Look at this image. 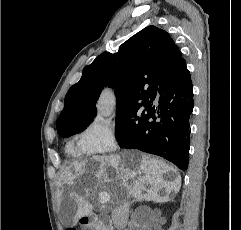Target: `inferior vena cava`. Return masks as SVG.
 <instances>
[{"instance_id": "602c4592", "label": "inferior vena cava", "mask_w": 241, "mask_h": 230, "mask_svg": "<svg viewBox=\"0 0 241 230\" xmlns=\"http://www.w3.org/2000/svg\"><path fill=\"white\" fill-rule=\"evenodd\" d=\"M130 203L128 201L118 205L112 212V221L114 226L121 230L127 225L129 217Z\"/></svg>"}]
</instances>
